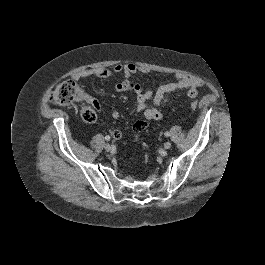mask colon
<instances>
[{
	"label": "colon",
	"mask_w": 265,
	"mask_h": 265,
	"mask_svg": "<svg viewBox=\"0 0 265 265\" xmlns=\"http://www.w3.org/2000/svg\"><path fill=\"white\" fill-rule=\"evenodd\" d=\"M49 101L61 106L70 105L73 103H82V118L87 122H93L96 120V108H98V104L96 102H88L83 89L73 81H66L58 85L50 92ZM190 107L191 109H196L197 103L192 102Z\"/></svg>",
	"instance_id": "obj_1"
}]
</instances>
